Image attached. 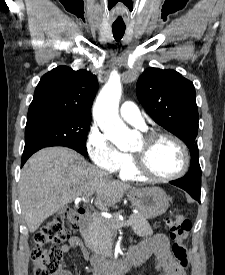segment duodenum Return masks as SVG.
I'll list each match as a JSON object with an SVG mask.
<instances>
[{
	"label": "duodenum",
	"mask_w": 225,
	"mask_h": 275,
	"mask_svg": "<svg viewBox=\"0 0 225 275\" xmlns=\"http://www.w3.org/2000/svg\"><path fill=\"white\" fill-rule=\"evenodd\" d=\"M83 215V228L87 229L89 224V219L87 218V210L81 208ZM92 268L95 275H122L125 274L131 267L138 264L135 257L132 254H128L126 258L116 261L111 257H91Z\"/></svg>",
	"instance_id": "1"
}]
</instances>
